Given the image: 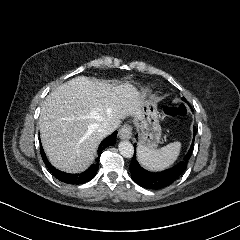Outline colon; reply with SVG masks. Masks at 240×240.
I'll return each mask as SVG.
<instances>
[{"mask_svg":"<svg viewBox=\"0 0 240 240\" xmlns=\"http://www.w3.org/2000/svg\"><path fill=\"white\" fill-rule=\"evenodd\" d=\"M189 111V108L187 105L185 104H180V105H177V106H171V107H167L165 109V112L168 114V115H172V116H175V117H183V116H186V114L188 113Z\"/></svg>","mask_w":240,"mask_h":240,"instance_id":"1","label":"colon"}]
</instances>
